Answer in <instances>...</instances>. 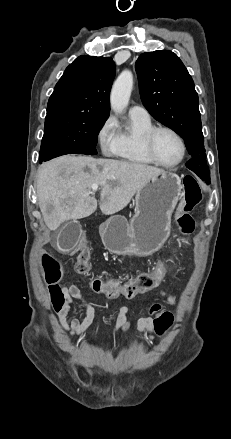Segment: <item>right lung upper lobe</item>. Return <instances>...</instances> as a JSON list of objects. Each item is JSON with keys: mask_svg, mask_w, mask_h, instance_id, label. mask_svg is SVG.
<instances>
[{"mask_svg": "<svg viewBox=\"0 0 231 439\" xmlns=\"http://www.w3.org/2000/svg\"><path fill=\"white\" fill-rule=\"evenodd\" d=\"M114 76L111 57L79 56L56 84L46 117L67 113L109 117V93Z\"/></svg>", "mask_w": 231, "mask_h": 439, "instance_id": "1", "label": "right lung upper lobe"}]
</instances>
